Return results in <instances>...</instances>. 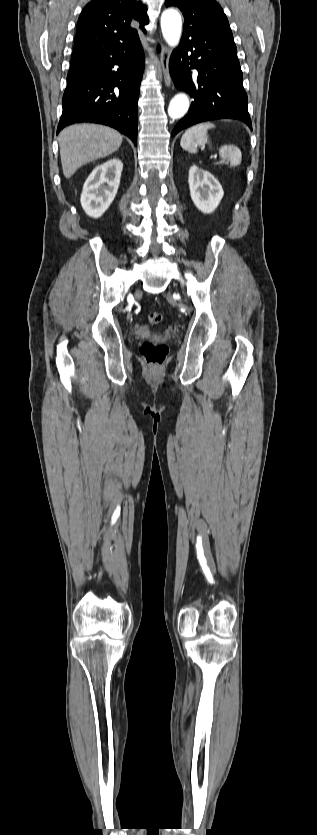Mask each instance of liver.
<instances>
[{
	"label": "liver",
	"instance_id": "obj_1",
	"mask_svg": "<svg viewBox=\"0 0 317 835\" xmlns=\"http://www.w3.org/2000/svg\"><path fill=\"white\" fill-rule=\"evenodd\" d=\"M121 144V134L107 126L76 124L65 128L59 134L64 176L70 178L82 165L116 152Z\"/></svg>",
	"mask_w": 317,
	"mask_h": 835
}]
</instances>
